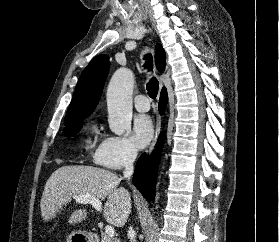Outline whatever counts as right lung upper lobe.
<instances>
[{"mask_svg":"<svg viewBox=\"0 0 279 242\" xmlns=\"http://www.w3.org/2000/svg\"><path fill=\"white\" fill-rule=\"evenodd\" d=\"M155 63L158 70H164L166 55L160 44H157L155 48ZM109 65V57L99 55L93 58L84 69L65 116V125L81 122L93 112L101 97ZM163 90L166 89L163 88Z\"/></svg>","mask_w":279,"mask_h":242,"instance_id":"1","label":"right lung upper lobe"}]
</instances>
